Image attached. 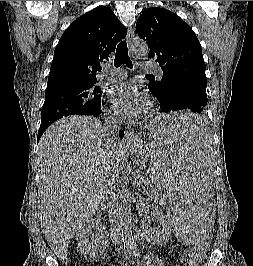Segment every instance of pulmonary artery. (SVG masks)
Returning <instances> with one entry per match:
<instances>
[{"label": "pulmonary artery", "mask_w": 253, "mask_h": 266, "mask_svg": "<svg viewBox=\"0 0 253 266\" xmlns=\"http://www.w3.org/2000/svg\"><path fill=\"white\" fill-rule=\"evenodd\" d=\"M138 65L142 70L156 73L158 78L162 77V71L160 68L151 65L147 61H139ZM126 71L122 68H114L106 66L104 68V78L107 81H119L126 77Z\"/></svg>", "instance_id": "e3ab8cb5"}]
</instances>
